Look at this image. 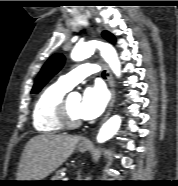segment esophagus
I'll return each instance as SVG.
<instances>
[{"label":"esophagus","mask_w":178,"mask_h":186,"mask_svg":"<svg viewBox=\"0 0 178 186\" xmlns=\"http://www.w3.org/2000/svg\"><path fill=\"white\" fill-rule=\"evenodd\" d=\"M101 63L106 68V75H107V79H108V83H109V87H110V91H111V100H110V103L108 105L107 112H106V114H105V116H104V118L102 120V122H104L109 117V115L112 112V109H113V106H114V103H115L116 94H115L114 81H113V77H112L111 71H110L109 67L106 65V63L104 61H101ZM83 142L84 143H88L89 141L88 140H84Z\"/></svg>","instance_id":"1"}]
</instances>
